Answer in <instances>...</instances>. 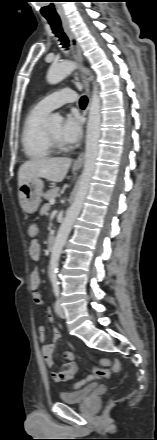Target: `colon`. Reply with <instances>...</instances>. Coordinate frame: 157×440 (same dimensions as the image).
Wrapping results in <instances>:
<instances>
[{"instance_id": "colon-1", "label": "colon", "mask_w": 157, "mask_h": 440, "mask_svg": "<svg viewBox=\"0 0 157 440\" xmlns=\"http://www.w3.org/2000/svg\"><path fill=\"white\" fill-rule=\"evenodd\" d=\"M27 232L30 239H36L39 234L38 226L35 223H30L27 227ZM109 369H113L114 371H118L120 369V363L117 360H111L107 358H102L98 360L96 367L91 375L78 381L75 384L76 388L83 386L86 382L93 379L106 378L109 374Z\"/></svg>"}]
</instances>
